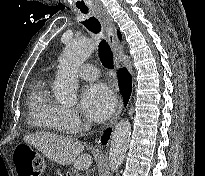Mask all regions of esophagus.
<instances>
[{
	"label": "esophagus",
	"mask_w": 205,
	"mask_h": 176,
	"mask_svg": "<svg viewBox=\"0 0 205 176\" xmlns=\"http://www.w3.org/2000/svg\"><path fill=\"white\" fill-rule=\"evenodd\" d=\"M94 14L101 20L104 26L108 43L114 54L115 67L121 68V63H120L121 47H120L119 40L117 38V33H116L114 22L109 16L106 9H104L103 7H98L97 9H95ZM122 109H123V98L121 95H119L115 113L112 116L109 123L107 124V127H110L117 121V119L120 117Z\"/></svg>",
	"instance_id": "1"
}]
</instances>
